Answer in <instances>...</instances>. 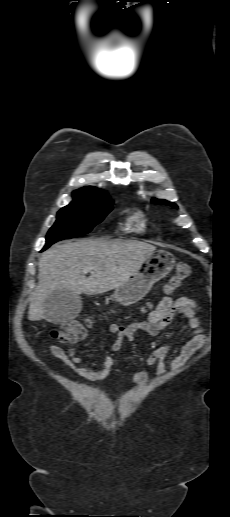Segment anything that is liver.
Returning <instances> with one entry per match:
<instances>
[{"label": "liver", "instance_id": "obj_1", "mask_svg": "<svg viewBox=\"0 0 230 517\" xmlns=\"http://www.w3.org/2000/svg\"><path fill=\"white\" fill-rule=\"evenodd\" d=\"M155 249L138 241L93 239L51 247L39 261L38 285L30 299L28 319L46 318L44 304L54 291L96 295L122 286ZM85 267L92 268L88 278L82 274Z\"/></svg>", "mask_w": 230, "mask_h": 517}]
</instances>
